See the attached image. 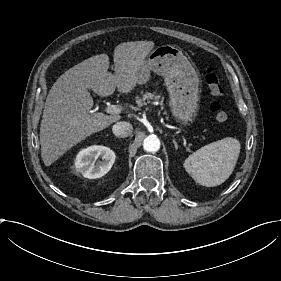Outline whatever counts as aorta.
<instances>
[{
	"label": "aorta",
	"instance_id": "aorta-1",
	"mask_svg": "<svg viewBox=\"0 0 281 281\" xmlns=\"http://www.w3.org/2000/svg\"><path fill=\"white\" fill-rule=\"evenodd\" d=\"M143 148L147 152H157L160 149V140L155 135H149L144 139Z\"/></svg>",
	"mask_w": 281,
	"mask_h": 281
}]
</instances>
